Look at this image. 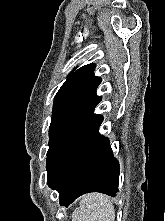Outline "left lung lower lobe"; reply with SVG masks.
Here are the masks:
<instances>
[{"label": "left lung lower lobe", "mask_w": 165, "mask_h": 221, "mask_svg": "<svg viewBox=\"0 0 165 221\" xmlns=\"http://www.w3.org/2000/svg\"><path fill=\"white\" fill-rule=\"evenodd\" d=\"M94 109L70 128L47 156V183L59 192L60 205L65 207L85 193L116 196L118 192L119 162L109 139L98 132L103 117L94 114Z\"/></svg>", "instance_id": "1"}]
</instances>
